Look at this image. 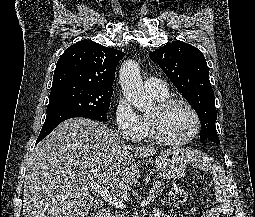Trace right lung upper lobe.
Returning <instances> with one entry per match:
<instances>
[{
    "label": "right lung upper lobe",
    "mask_w": 255,
    "mask_h": 217,
    "mask_svg": "<svg viewBox=\"0 0 255 217\" xmlns=\"http://www.w3.org/2000/svg\"><path fill=\"white\" fill-rule=\"evenodd\" d=\"M124 53L82 40L67 48L57 61L52 87L82 85L113 90L115 70Z\"/></svg>",
    "instance_id": "cb5924a9"
}]
</instances>
